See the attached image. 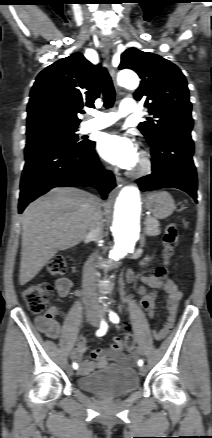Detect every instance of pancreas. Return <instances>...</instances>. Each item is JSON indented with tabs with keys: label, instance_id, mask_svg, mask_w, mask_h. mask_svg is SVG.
<instances>
[{
	"label": "pancreas",
	"instance_id": "cf45deb5",
	"mask_svg": "<svg viewBox=\"0 0 212 438\" xmlns=\"http://www.w3.org/2000/svg\"><path fill=\"white\" fill-rule=\"evenodd\" d=\"M159 221L151 216H148L146 218V228H145V233L148 236H157L160 234V229H159Z\"/></svg>",
	"mask_w": 212,
	"mask_h": 438
}]
</instances>
